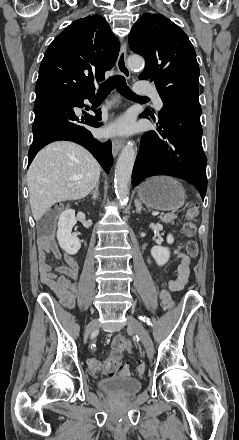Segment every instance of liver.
<instances>
[{"label": "liver", "mask_w": 239, "mask_h": 440, "mask_svg": "<svg viewBox=\"0 0 239 440\" xmlns=\"http://www.w3.org/2000/svg\"><path fill=\"white\" fill-rule=\"evenodd\" d=\"M101 168L90 152L73 142H53L35 156L28 172L31 212L35 222L65 200L86 198L100 178ZM82 176L80 180H69Z\"/></svg>", "instance_id": "obj_1"}]
</instances>
